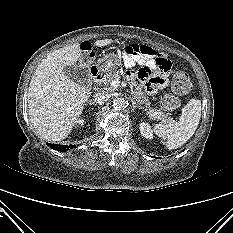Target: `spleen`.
I'll list each match as a JSON object with an SVG mask.
<instances>
[{"label": "spleen", "instance_id": "spleen-1", "mask_svg": "<svg viewBox=\"0 0 233 233\" xmlns=\"http://www.w3.org/2000/svg\"><path fill=\"white\" fill-rule=\"evenodd\" d=\"M201 118V101L191 99L182 109L179 121L170 120L167 124L158 123L154 132L163 140H167L169 150L176 149L185 144L195 133Z\"/></svg>", "mask_w": 233, "mask_h": 233}]
</instances>
